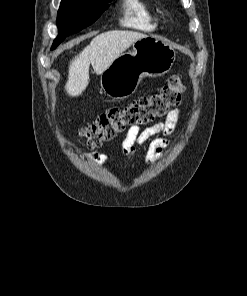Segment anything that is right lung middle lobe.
<instances>
[{
  "mask_svg": "<svg viewBox=\"0 0 247 296\" xmlns=\"http://www.w3.org/2000/svg\"><path fill=\"white\" fill-rule=\"evenodd\" d=\"M112 0H62L57 16L59 35L54 40L56 48L66 36L91 25Z\"/></svg>",
  "mask_w": 247,
  "mask_h": 296,
  "instance_id": "right-lung-middle-lobe-1",
  "label": "right lung middle lobe"
}]
</instances>
